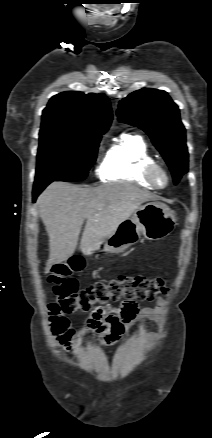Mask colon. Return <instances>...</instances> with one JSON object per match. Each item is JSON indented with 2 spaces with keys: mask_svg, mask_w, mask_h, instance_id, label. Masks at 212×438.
Returning a JSON list of instances; mask_svg holds the SVG:
<instances>
[{
  "mask_svg": "<svg viewBox=\"0 0 212 438\" xmlns=\"http://www.w3.org/2000/svg\"><path fill=\"white\" fill-rule=\"evenodd\" d=\"M83 267L84 260L80 256H73L53 266L49 282L58 300L49 305V319L55 334H63L68 330V320L64 316L66 313L88 311L95 304L106 305L121 298L151 301L168 292L163 278L149 279L142 276H124L96 282L79 290L78 283L72 276Z\"/></svg>",
  "mask_w": 212,
  "mask_h": 438,
  "instance_id": "colon-1",
  "label": "colon"
}]
</instances>
